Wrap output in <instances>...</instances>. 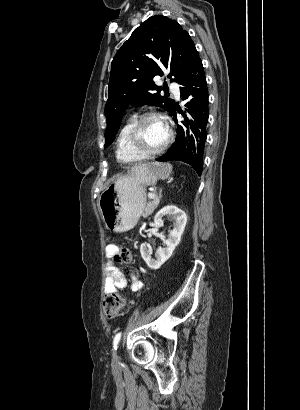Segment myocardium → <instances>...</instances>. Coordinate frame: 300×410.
<instances>
[{"label": "myocardium", "mask_w": 300, "mask_h": 410, "mask_svg": "<svg viewBox=\"0 0 300 410\" xmlns=\"http://www.w3.org/2000/svg\"><path fill=\"white\" fill-rule=\"evenodd\" d=\"M150 119L161 120L165 124L167 128V132H168L165 142L156 149L145 148L140 138V131H141L142 125ZM172 138H173V133L171 129L167 126L164 117L161 114L156 113V112H148V113L142 114L139 117H137L136 120L131 125L129 132H128L129 145L135 152H137L138 154H140L141 156L145 158L162 153L169 146Z\"/></svg>", "instance_id": "myocardium-1"}]
</instances>
